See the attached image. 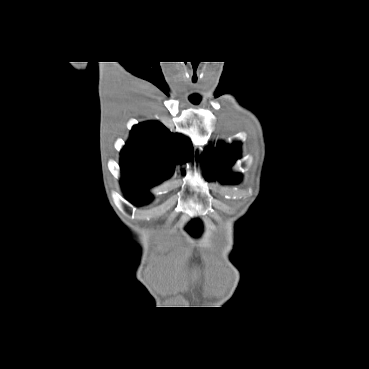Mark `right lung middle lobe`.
Listing matches in <instances>:
<instances>
[{"label": "right lung middle lobe", "mask_w": 369, "mask_h": 369, "mask_svg": "<svg viewBox=\"0 0 369 369\" xmlns=\"http://www.w3.org/2000/svg\"><path fill=\"white\" fill-rule=\"evenodd\" d=\"M123 188H124L125 192L127 193L128 197L130 198V200L134 204L142 205V204L147 203L151 199V197H149V196L134 193V192L130 191L128 188H126L125 186H123Z\"/></svg>", "instance_id": "1"}]
</instances>
